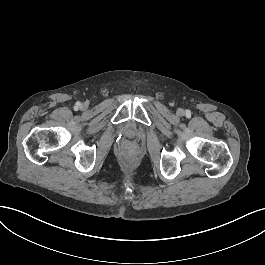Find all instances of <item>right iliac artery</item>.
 <instances>
[{
    "instance_id": "82829eb1",
    "label": "right iliac artery",
    "mask_w": 265,
    "mask_h": 265,
    "mask_svg": "<svg viewBox=\"0 0 265 265\" xmlns=\"http://www.w3.org/2000/svg\"><path fill=\"white\" fill-rule=\"evenodd\" d=\"M81 103L80 102H77L76 103V106H75V110L78 109L80 107Z\"/></svg>"
}]
</instances>
